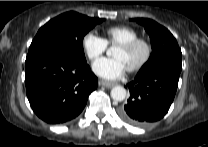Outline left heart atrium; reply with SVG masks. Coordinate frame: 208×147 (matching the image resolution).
Masks as SVG:
<instances>
[{"mask_svg":"<svg viewBox=\"0 0 208 147\" xmlns=\"http://www.w3.org/2000/svg\"><path fill=\"white\" fill-rule=\"evenodd\" d=\"M127 69L123 60L117 57L101 58L93 63V71L108 80L120 78Z\"/></svg>","mask_w":208,"mask_h":147,"instance_id":"left-heart-atrium-1","label":"left heart atrium"}]
</instances>
